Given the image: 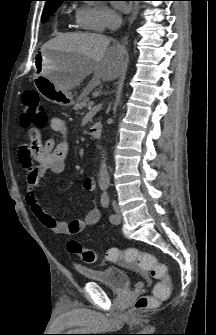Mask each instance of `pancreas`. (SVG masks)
Segmentation results:
<instances>
[{
	"mask_svg": "<svg viewBox=\"0 0 216 335\" xmlns=\"http://www.w3.org/2000/svg\"><path fill=\"white\" fill-rule=\"evenodd\" d=\"M89 94V91H84L80 94V96L78 97L77 99V103L74 105V110H79V109H82L84 107H87L88 104H87V96Z\"/></svg>",
	"mask_w": 216,
	"mask_h": 335,
	"instance_id": "cf45deb5",
	"label": "pancreas"
}]
</instances>
